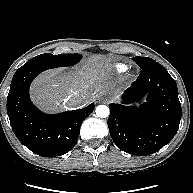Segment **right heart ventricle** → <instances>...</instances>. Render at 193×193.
Instances as JSON below:
<instances>
[{
	"instance_id": "e07e8e85",
	"label": "right heart ventricle",
	"mask_w": 193,
	"mask_h": 193,
	"mask_svg": "<svg viewBox=\"0 0 193 193\" xmlns=\"http://www.w3.org/2000/svg\"><path fill=\"white\" fill-rule=\"evenodd\" d=\"M126 69H127V65H125V64L120 63V64L116 65V71L118 73H122V72L126 71Z\"/></svg>"
}]
</instances>
